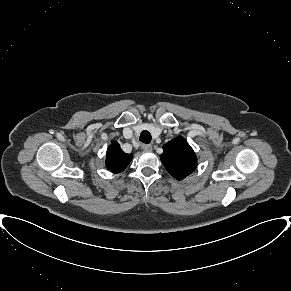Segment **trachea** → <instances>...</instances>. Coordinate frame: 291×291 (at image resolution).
<instances>
[{
    "mask_svg": "<svg viewBox=\"0 0 291 291\" xmlns=\"http://www.w3.org/2000/svg\"><path fill=\"white\" fill-rule=\"evenodd\" d=\"M139 140L142 143H145V144L150 143L151 142V134H150V132L147 131V130L142 131L141 134H140Z\"/></svg>",
    "mask_w": 291,
    "mask_h": 291,
    "instance_id": "3493384b",
    "label": "trachea"
}]
</instances>
